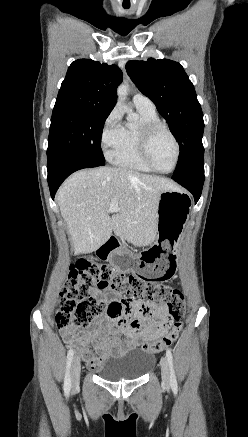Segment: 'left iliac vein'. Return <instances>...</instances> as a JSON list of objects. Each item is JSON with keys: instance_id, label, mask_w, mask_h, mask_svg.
<instances>
[{"instance_id": "4c4485c4", "label": "left iliac vein", "mask_w": 248, "mask_h": 437, "mask_svg": "<svg viewBox=\"0 0 248 437\" xmlns=\"http://www.w3.org/2000/svg\"><path fill=\"white\" fill-rule=\"evenodd\" d=\"M160 366H161V377L162 382L164 385L168 386L170 383V375H169V366H168V360L166 357H162L160 360Z\"/></svg>"}]
</instances>
